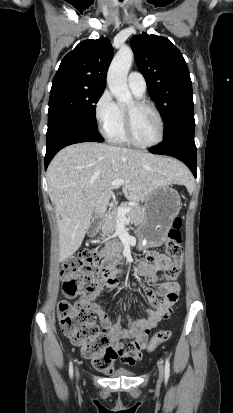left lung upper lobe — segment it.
Wrapping results in <instances>:
<instances>
[{
  "label": "left lung upper lobe",
  "instance_id": "1",
  "mask_svg": "<svg viewBox=\"0 0 233 413\" xmlns=\"http://www.w3.org/2000/svg\"><path fill=\"white\" fill-rule=\"evenodd\" d=\"M139 71L159 108L164 139L181 129H195L192 83L187 64L177 47L165 37L142 33L131 39Z\"/></svg>",
  "mask_w": 233,
  "mask_h": 413
}]
</instances>
